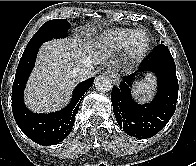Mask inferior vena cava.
<instances>
[{"label": "inferior vena cava", "instance_id": "obj_1", "mask_svg": "<svg viewBox=\"0 0 196 166\" xmlns=\"http://www.w3.org/2000/svg\"><path fill=\"white\" fill-rule=\"evenodd\" d=\"M91 66L85 67V66H81L76 68L73 71L74 76H76L79 79H85L87 76H89L91 74Z\"/></svg>", "mask_w": 196, "mask_h": 166}]
</instances>
